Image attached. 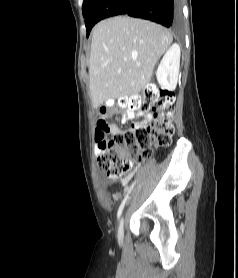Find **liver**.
Segmentation results:
<instances>
[{
  "label": "liver",
  "mask_w": 238,
  "mask_h": 278,
  "mask_svg": "<svg viewBox=\"0 0 238 278\" xmlns=\"http://www.w3.org/2000/svg\"><path fill=\"white\" fill-rule=\"evenodd\" d=\"M172 41L167 29L147 20L117 16L100 21L93 29L88 66L93 107L144 90Z\"/></svg>",
  "instance_id": "6515ba94"
}]
</instances>
